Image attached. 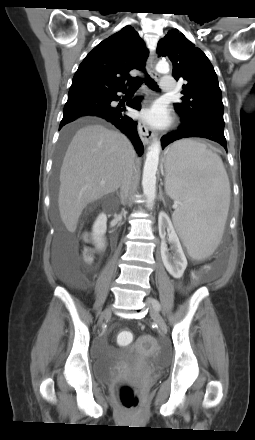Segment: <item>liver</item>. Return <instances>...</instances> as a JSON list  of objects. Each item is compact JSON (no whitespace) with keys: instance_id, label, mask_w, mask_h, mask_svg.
<instances>
[{"instance_id":"1","label":"liver","mask_w":255,"mask_h":440,"mask_svg":"<svg viewBox=\"0 0 255 440\" xmlns=\"http://www.w3.org/2000/svg\"><path fill=\"white\" fill-rule=\"evenodd\" d=\"M135 151L123 134L102 125L79 129L68 146L60 170L59 213L74 232L87 204L115 192Z\"/></svg>"}]
</instances>
